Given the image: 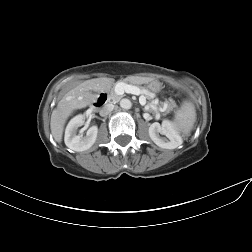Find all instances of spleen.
I'll list each match as a JSON object with an SVG mask.
<instances>
[{
  "instance_id": "spleen-1",
  "label": "spleen",
  "mask_w": 252,
  "mask_h": 252,
  "mask_svg": "<svg viewBox=\"0 0 252 252\" xmlns=\"http://www.w3.org/2000/svg\"><path fill=\"white\" fill-rule=\"evenodd\" d=\"M174 121L177 129L184 136H189L196 122V112L193 104L184 101L181 107L175 112Z\"/></svg>"
}]
</instances>
